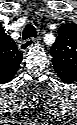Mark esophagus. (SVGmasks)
<instances>
[{"instance_id":"34e87169","label":"esophagus","mask_w":77,"mask_h":125,"mask_svg":"<svg viewBox=\"0 0 77 125\" xmlns=\"http://www.w3.org/2000/svg\"><path fill=\"white\" fill-rule=\"evenodd\" d=\"M36 41H37V38H29L25 40L24 42H22L19 48L21 51L24 52L28 50L29 48H31L36 43Z\"/></svg>"}]
</instances>
